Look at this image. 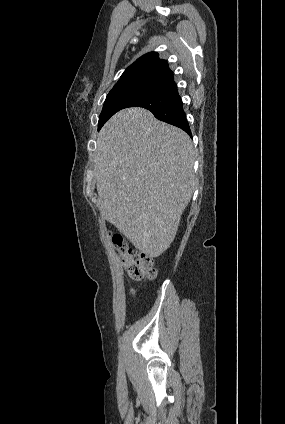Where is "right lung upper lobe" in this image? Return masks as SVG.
Segmentation results:
<instances>
[{
  "mask_svg": "<svg viewBox=\"0 0 285 424\" xmlns=\"http://www.w3.org/2000/svg\"><path fill=\"white\" fill-rule=\"evenodd\" d=\"M173 80V73L169 69L167 61L159 59L157 52H150L130 65L113 88L146 82L165 85Z\"/></svg>",
  "mask_w": 285,
  "mask_h": 424,
  "instance_id": "obj_1",
  "label": "right lung upper lobe"
}]
</instances>
